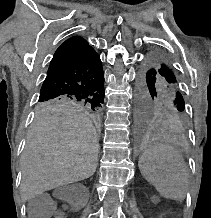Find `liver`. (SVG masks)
<instances>
[{"mask_svg": "<svg viewBox=\"0 0 211 218\" xmlns=\"http://www.w3.org/2000/svg\"><path fill=\"white\" fill-rule=\"evenodd\" d=\"M98 162L95 128L74 108H43L27 134L21 196L31 200L58 186L93 176Z\"/></svg>", "mask_w": 211, "mask_h": 218, "instance_id": "6515ba94", "label": "liver"}]
</instances>
